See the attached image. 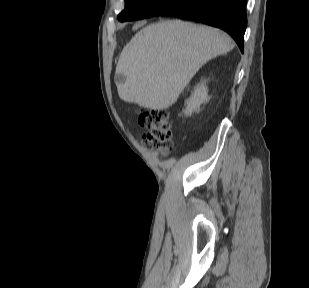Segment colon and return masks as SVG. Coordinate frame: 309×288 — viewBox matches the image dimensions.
Returning a JSON list of instances; mask_svg holds the SVG:
<instances>
[{
  "mask_svg": "<svg viewBox=\"0 0 309 288\" xmlns=\"http://www.w3.org/2000/svg\"><path fill=\"white\" fill-rule=\"evenodd\" d=\"M138 121L148 131L143 135V146L149 150L167 154L173 145V129L169 113L165 109H142Z\"/></svg>",
  "mask_w": 309,
  "mask_h": 288,
  "instance_id": "5ec220e1",
  "label": "colon"
}]
</instances>
